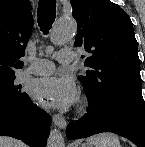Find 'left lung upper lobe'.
Wrapping results in <instances>:
<instances>
[{"label":"left lung upper lobe","mask_w":145,"mask_h":147,"mask_svg":"<svg viewBox=\"0 0 145 147\" xmlns=\"http://www.w3.org/2000/svg\"><path fill=\"white\" fill-rule=\"evenodd\" d=\"M78 24L75 46L91 55L81 77L89 104L141 89L137 41L130 17L110 0H70Z\"/></svg>","instance_id":"obj_1"}]
</instances>
